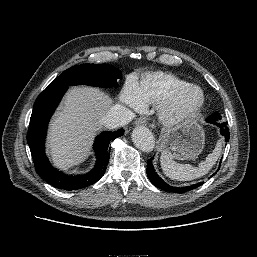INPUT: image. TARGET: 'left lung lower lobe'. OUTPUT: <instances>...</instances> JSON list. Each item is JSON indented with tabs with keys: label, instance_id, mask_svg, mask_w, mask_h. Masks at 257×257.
Segmentation results:
<instances>
[{
	"label": "left lung lower lobe",
	"instance_id": "0a47b994",
	"mask_svg": "<svg viewBox=\"0 0 257 257\" xmlns=\"http://www.w3.org/2000/svg\"><path fill=\"white\" fill-rule=\"evenodd\" d=\"M216 124L219 128H220V133L225 136L226 141L229 140L230 134H229V129L226 125V123H214ZM152 160L153 158L149 159L147 162V176L150 179V181L152 182V184H154L156 187L163 189L165 191H170V192H174V193H184V192H188L192 189H195L199 186H201L203 183H198V184H194V185H190V186H186V187H173L168 185L166 182H164L155 172L153 165H152ZM221 164V162H220Z\"/></svg>",
	"mask_w": 257,
	"mask_h": 257
}]
</instances>
